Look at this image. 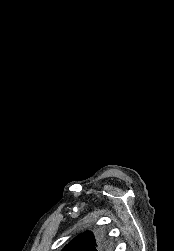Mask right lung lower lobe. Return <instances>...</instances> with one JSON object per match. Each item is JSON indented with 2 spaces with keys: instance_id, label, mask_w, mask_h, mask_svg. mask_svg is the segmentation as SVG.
Segmentation results:
<instances>
[{
  "instance_id": "98d812e1",
  "label": "right lung lower lobe",
  "mask_w": 174,
  "mask_h": 251,
  "mask_svg": "<svg viewBox=\"0 0 174 251\" xmlns=\"http://www.w3.org/2000/svg\"><path fill=\"white\" fill-rule=\"evenodd\" d=\"M102 243H103V241L101 240V241L99 242V247L101 246ZM95 250L97 251V248H96Z\"/></svg>"
}]
</instances>
